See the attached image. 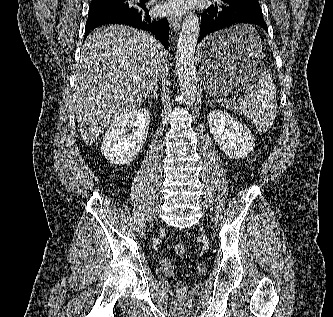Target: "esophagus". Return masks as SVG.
I'll return each mask as SVG.
<instances>
[{"mask_svg":"<svg viewBox=\"0 0 333 317\" xmlns=\"http://www.w3.org/2000/svg\"><path fill=\"white\" fill-rule=\"evenodd\" d=\"M169 24L173 31H177L181 25V18L180 17H170Z\"/></svg>","mask_w":333,"mask_h":317,"instance_id":"1","label":"esophagus"}]
</instances>
